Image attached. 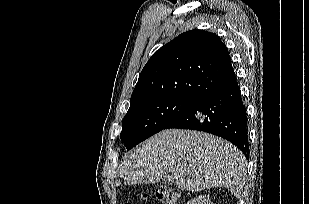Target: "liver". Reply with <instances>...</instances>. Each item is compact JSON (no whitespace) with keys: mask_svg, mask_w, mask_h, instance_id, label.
<instances>
[{"mask_svg":"<svg viewBox=\"0 0 309 204\" xmlns=\"http://www.w3.org/2000/svg\"><path fill=\"white\" fill-rule=\"evenodd\" d=\"M246 168L245 156L228 141L199 131L169 129L128 153L119 177L125 185L153 184L170 172L181 190L225 187L239 197Z\"/></svg>","mask_w":309,"mask_h":204,"instance_id":"1","label":"liver"}]
</instances>
